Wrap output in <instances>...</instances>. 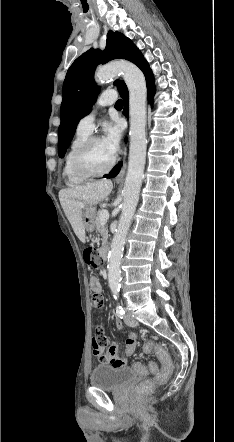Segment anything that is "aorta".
Returning <instances> with one entry per match:
<instances>
[{
    "label": "aorta",
    "mask_w": 234,
    "mask_h": 442,
    "mask_svg": "<svg viewBox=\"0 0 234 442\" xmlns=\"http://www.w3.org/2000/svg\"><path fill=\"white\" fill-rule=\"evenodd\" d=\"M119 74H122L129 90L130 147L122 212L108 254V281L114 294L120 290V263L130 223L139 200L147 147L145 130L147 88L142 71L127 61L114 62L98 68L94 78L97 84H104Z\"/></svg>",
    "instance_id": "762f6f07"
}]
</instances>
